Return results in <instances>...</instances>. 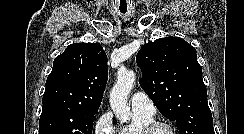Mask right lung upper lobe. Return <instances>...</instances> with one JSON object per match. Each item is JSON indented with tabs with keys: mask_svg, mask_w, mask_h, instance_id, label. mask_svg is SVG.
<instances>
[{
	"mask_svg": "<svg viewBox=\"0 0 244 134\" xmlns=\"http://www.w3.org/2000/svg\"><path fill=\"white\" fill-rule=\"evenodd\" d=\"M107 79V56L99 43L71 44L54 60L42 103L98 110Z\"/></svg>",
	"mask_w": 244,
	"mask_h": 134,
	"instance_id": "cb5924a9",
	"label": "right lung upper lobe"
}]
</instances>
